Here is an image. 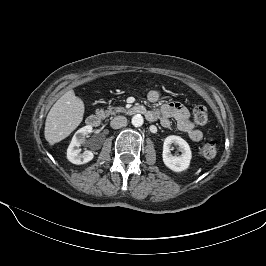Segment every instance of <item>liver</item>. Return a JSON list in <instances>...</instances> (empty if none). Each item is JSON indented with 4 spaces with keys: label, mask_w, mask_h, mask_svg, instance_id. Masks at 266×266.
<instances>
[{
    "label": "liver",
    "mask_w": 266,
    "mask_h": 266,
    "mask_svg": "<svg viewBox=\"0 0 266 266\" xmlns=\"http://www.w3.org/2000/svg\"><path fill=\"white\" fill-rule=\"evenodd\" d=\"M84 103L73 90L64 93L50 109L45 122V139L50 145L65 139L83 120Z\"/></svg>",
    "instance_id": "1"
}]
</instances>
